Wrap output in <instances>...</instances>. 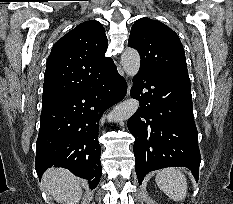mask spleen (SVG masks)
Segmentation results:
<instances>
[{
	"label": "spleen",
	"mask_w": 233,
	"mask_h": 204,
	"mask_svg": "<svg viewBox=\"0 0 233 204\" xmlns=\"http://www.w3.org/2000/svg\"><path fill=\"white\" fill-rule=\"evenodd\" d=\"M159 189L170 199L182 201L187 194V181L185 175L176 168H166L157 172L155 178Z\"/></svg>",
	"instance_id": "obj_1"
}]
</instances>
